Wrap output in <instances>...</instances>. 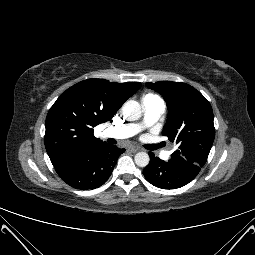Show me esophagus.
<instances>
[{
	"label": "esophagus",
	"instance_id": "esophagus-1",
	"mask_svg": "<svg viewBox=\"0 0 255 255\" xmlns=\"http://www.w3.org/2000/svg\"><path fill=\"white\" fill-rule=\"evenodd\" d=\"M128 150H129L130 152H132V153H136V152H138L140 149L137 148V147H129Z\"/></svg>",
	"mask_w": 255,
	"mask_h": 255
}]
</instances>
